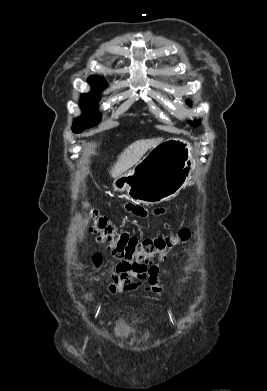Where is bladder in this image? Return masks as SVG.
<instances>
[{
	"instance_id": "1",
	"label": "bladder",
	"mask_w": 267,
	"mask_h": 391,
	"mask_svg": "<svg viewBox=\"0 0 267 391\" xmlns=\"http://www.w3.org/2000/svg\"><path fill=\"white\" fill-rule=\"evenodd\" d=\"M115 333L119 337H128L132 334V329L124 320H118L115 326Z\"/></svg>"
}]
</instances>
